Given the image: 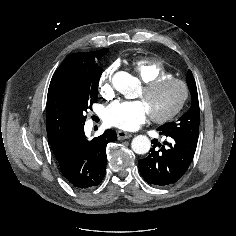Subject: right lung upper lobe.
<instances>
[{"label": "right lung upper lobe", "instance_id": "cb5924a9", "mask_svg": "<svg viewBox=\"0 0 236 236\" xmlns=\"http://www.w3.org/2000/svg\"><path fill=\"white\" fill-rule=\"evenodd\" d=\"M85 52L68 56L54 73L47 95L46 128L50 145L57 149L74 130L67 105V88L77 74V64Z\"/></svg>", "mask_w": 236, "mask_h": 236}]
</instances>
